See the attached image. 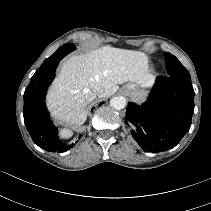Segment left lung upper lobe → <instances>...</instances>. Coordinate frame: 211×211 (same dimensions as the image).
Returning a JSON list of instances; mask_svg holds the SVG:
<instances>
[{
  "mask_svg": "<svg viewBox=\"0 0 211 211\" xmlns=\"http://www.w3.org/2000/svg\"><path fill=\"white\" fill-rule=\"evenodd\" d=\"M165 64L167 66L169 76L190 78V74L186 68L172 54L165 53Z\"/></svg>",
  "mask_w": 211,
  "mask_h": 211,
  "instance_id": "5c2ea615",
  "label": "left lung upper lobe"
}]
</instances>
